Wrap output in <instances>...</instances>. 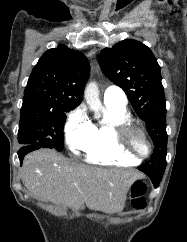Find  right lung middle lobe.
<instances>
[{
    "label": "right lung middle lobe",
    "mask_w": 187,
    "mask_h": 242,
    "mask_svg": "<svg viewBox=\"0 0 187 242\" xmlns=\"http://www.w3.org/2000/svg\"><path fill=\"white\" fill-rule=\"evenodd\" d=\"M66 112L69 111L21 110L18 142L62 151Z\"/></svg>",
    "instance_id": "1"
}]
</instances>
